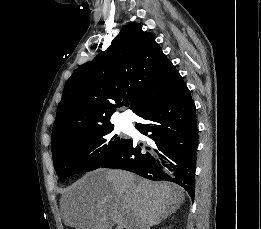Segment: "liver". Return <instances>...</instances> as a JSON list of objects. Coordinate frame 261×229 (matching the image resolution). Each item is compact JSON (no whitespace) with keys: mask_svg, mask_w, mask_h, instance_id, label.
<instances>
[{"mask_svg":"<svg viewBox=\"0 0 261 229\" xmlns=\"http://www.w3.org/2000/svg\"><path fill=\"white\" fill-rule=\"evenodd\" d=\"M185 199L175 183H154L129 171L96 169L69 187L61 199L65 223L75 229H151Z\"/></svg>","mask_w":261,"mask_h":229,"instance_id":"liver-1","label":"liver"}]
</instances>
